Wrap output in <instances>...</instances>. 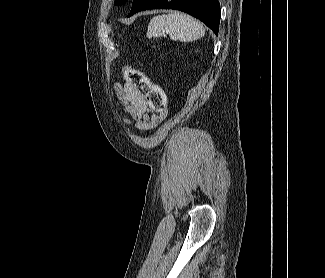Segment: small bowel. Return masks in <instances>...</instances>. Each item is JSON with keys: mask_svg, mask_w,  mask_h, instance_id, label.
<instances>
[{"mask_svg": "<svg viewBox=\"0 0 325 278\" xmlns=\"http://www.w3.org/2000/svg\"><path fill=\"white\" fill-rule=\"evenodd\" d=\"M115 89L126 103L127 114L136 120L135 127L140 131L155 128L165 117V112L152 113L142 94L131 84H117Z\"/></svg>", "mask_w": 325, "mask_h": 278, "instance_id": "1", "label": "small bowel"}]
</instances>
